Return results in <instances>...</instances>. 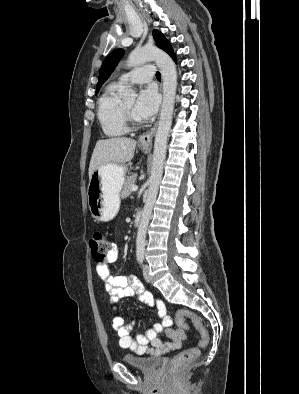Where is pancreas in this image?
Returning a JSON list of instances; mask_svg holds the SVG:
<instances>
[{"instance_id":"obj_1","label":"pancreas","mask_w":299,"mask_h":394,"mask_svg":"<svg viewBox=\"0 0 299 394\" xmlns=\"http://www.w3.org/2000/svg\"><path fill=\"white\" fill-rule=\"evenodd\" d=\"M136 178H137V174H133L127 177L120 194L121 198H127L131 194L132 192L131 188L135 185Z\"/></svg>"}]
</instances>
